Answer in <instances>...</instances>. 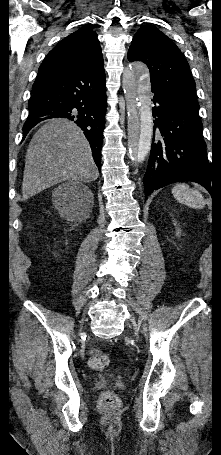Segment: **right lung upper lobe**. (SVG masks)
I'll return each mask as SVG.
<instances>
[{"label": "right lung upper lobe", "mask_w": 221, "mask_h": 455, "mask_svg": "<svg viewBox=\"0 0 221 455\" xmlns=\"http://www.w3.org/2000/svg\"><path fill=\"white\" fill-rule=\"evenodd\" d=\"M102 60L96 32L83 27L64 38L48 53L39 68L32 92L72 70Z\"/></svg>", "instance_id": "cb5924a9"}]
</instances>
